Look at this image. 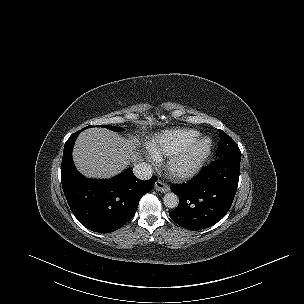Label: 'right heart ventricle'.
I'll return each mask as SVG.
<instances>
[{"mask_svg": "<svg viewBox=\"0 0 304 304\" xmlns=\"http://www.w3.org/2000/svg\"><path fill=\"white\" fill-rule=\"evenodd\" d=\"M200 137L194 129H170L157 134L151 142L154 156L173 157Z\"/></svg>", "mask_w": 304, "mask_h": 304, "instance_id": "1", "label": "right heart ventricle"}]
</instances>
